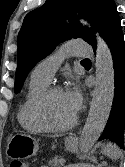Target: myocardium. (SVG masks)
Here are the masks:
<instances>
[{
  "label": "myocardium",
  "instance_id": "1",
  "mask_svg": "<svg viewBox=\"0 0 125 167\" xmlns=\"http://www.w3.org/2000/svg\"><path fill=\"white\" fill-rule=\"evenodd\" d=\"M62 91L59 86H49L38 98L34 107V117L36 122L48 132H64L70 130L78 120V116L75 113L74 117L64 125L56 126L51 124L46 116V105L48 99L56 92Z\"/></svg>",
  "mask_w": 125,
  "mask_h": 167
}]
</instances>
